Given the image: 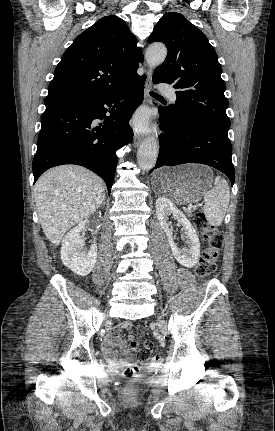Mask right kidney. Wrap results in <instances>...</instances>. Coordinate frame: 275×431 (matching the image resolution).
<instances>
[{
  "label": "right kidney",
  "instance_id": "right-kidney-1",
  "mask_svg": "<svg viewBox=\"0 0 275 431\" xmlns=\"http://www.w3.org/2000/svg\"><path fill=\"white\" fill-rule=\"evenodd\" d=\"M89 225L90 222L87 220L80 222L78 226L67 233L61 247V259L63 264L79 276L88 275L97 261V244L95 238L89 250H83L85 241L80 233Z\"/></svg>",
  "mask_w": 275,
  "mask_h": 431
}]
</instances>
